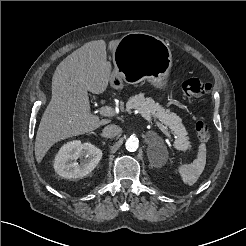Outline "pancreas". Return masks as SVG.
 <instances>
[{"mask_svg":"<svg viewBox=\"0 0 246 246\" xmlns=\"http://www.w3.org/2000/svg\"><path fill=\"white\" fill-rule=\"evenodd\" d=\"M136 109L147 120L158 119L168 126L173 134L177 136L175 147L179 150H186L190 147L187 130L182 124V120L169 109L163 108L152 98H145L143 94L131 96L126 103V110Z\"/></svg>","mask_w":246,"mask_h":246,"instance_id":"pancreas-1","label":"pancreas"}]
</instances>
